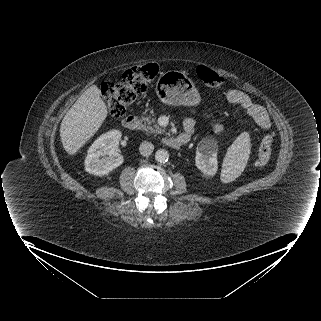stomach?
Wrapping results in <instances>:
<instances>
[{
  "instance_id": "0dacf381",
  "label": "stomach",
  "mask_w": 321,
  "mask_h": 321,
  "mask_svg": "<svg viewBox=\"0 0 321 321\" xmlns=\"http://www.w3.org/2000/svg\"><path fill=\"white\" fill-rule=\"evenodd\" d=\"M159 100L167 105L198 106L201 98L198 90L184 72L170 70L163 73L156 84Z\"/></svg>"
}]
</instances>
